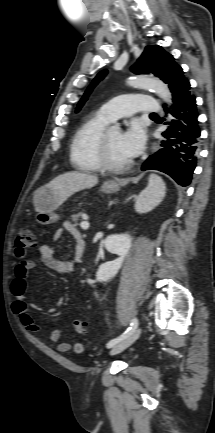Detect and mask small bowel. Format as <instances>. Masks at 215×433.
Wrapping results in <instances>:
<instances>
[{"label": "small bowel", "instance_id": "c3829d8e", "mask_svg": "<svg viewBox=\"0 0 215 433\" xmlns=\"http://www.w3.org/2000/svg\"><path fill=\"white\" fill-rule=\"evenodd\" d=\"M67 232L75 242L74 256L72 259L64 260L58 259L56 250L47 244L41 245L38 248L39 256L42 262L53 269L59 274H69L74 265L78 263L84 254L82 246L85 245L80 231L69 222H66L62 228H59L55 233V240H59L62 235ZM35 267V262L30 259L21 260L14 268V278L10 284V291L15 301L13 303V311L19 318L23 326L31 332H40L41 327L35 322L31 310H37V307L29 303L25 298L27 281L30 271ZM61 331L54 330L49 334L51 342L57 343V350L65 353L72 348L75 352L80 353L83 351V345L80 342L70 343L67 341H60Z\"/></svg>", "mask_w": 215, "mask_h": 433}]
</instances>
